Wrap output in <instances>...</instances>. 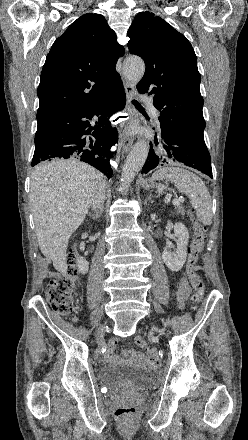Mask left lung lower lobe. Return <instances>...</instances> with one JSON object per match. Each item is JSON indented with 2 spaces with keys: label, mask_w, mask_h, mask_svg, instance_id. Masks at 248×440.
Wrapping results in <instances>:
<instances>
[{
  "label": "left lung lower lobe",
  "mask_w": 248,
  "mask_h": 440,
  "mask_svg": "<svg viewBox=\"0 0 248 440\" xmlns=\"http://www.w3.org/2000/svg\"><path fill=\"white\" fill-rule=\"evenodd\" d=\"M160 128L162 130L161 143L165 153L156 155L150 149L142 173L146 174L163 163L180 162L182 165L195 168L213 178L210 154L204 137L193 135L183 128L167 122L160 121Z\"/></svg>",
  "instance_id": "left-lung-lower-lobe-1"
}]
</instances>
